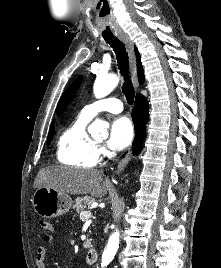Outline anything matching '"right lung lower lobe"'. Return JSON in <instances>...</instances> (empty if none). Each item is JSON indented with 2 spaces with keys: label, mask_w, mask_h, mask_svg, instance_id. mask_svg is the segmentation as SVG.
I'll return each mask as SVG.
<instances>
[{
  "label": "right lung lower lobe",
  "mask_w": 221,
  "mask_h": 268,
  "mask_svg": "<svg viewBox=\"0 0 221 268\" xmlns=\"http://www.w3.org/2000/svg\"><path fill=\"white\" fill-rule=\"evenodd\" d=\"M149 104L147 99L141 95H136L135 104L132 110V120L135 128V139L133 151L138 154L146 135V124L149 119Z\"/></svg>",
  "instance_id": "98d812e1"
}]
</instances>
